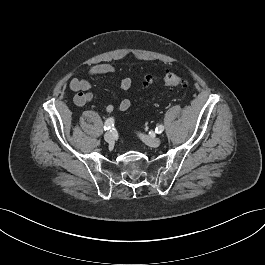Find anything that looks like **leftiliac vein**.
I'll return each mask as SVG.
<instances>
[{
  "instance_id": "1",
  "label": "left iliac vein",
  "mask_w": 265,
  "mask_h": 265,
  "mask_svg": "<svg viewBox=\"0 0 265 265\" xmlns=\"http://www.w3.org/2000/svg\"><path fill=\"white\" fill-rule=\"evenodd\" d=\"M140 138L144 143L151 147H158L161 144V139L159 137H152L148 135H140Z\"/></svg>"
}]
</instances>
